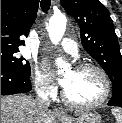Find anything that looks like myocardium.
I'll list each match as a JSON object with an SVG mask.
<instances>
[{"instance_id": "1", "label": "myocardium", "mask_w": 122, "mask_h": 123, "mask_svg": "<svg viewBox=\"0 0 122 123\" xmlns=\"http://www.w3.org/2000/svg\"><path fill=\"white\" fill-rule=\"evenodd\" d=\"M87 68L94 69L95 71H97L100 74V76L103 79L104 86H105L104 93L99 99H97L95 101L78 102V101L71 99L68 96L65 88H63L62 92H61L62 99L66 104H68L72 107H78V108L96 107V106L103 104L109 98V96L111 94L112 87H111L110 78H109L108 74L105 72V70L103 68H101L99 65L91 63V62H81V63L76 64L74 67L75 70H82V69H87Z\"/></svg>"}]
</instances>
